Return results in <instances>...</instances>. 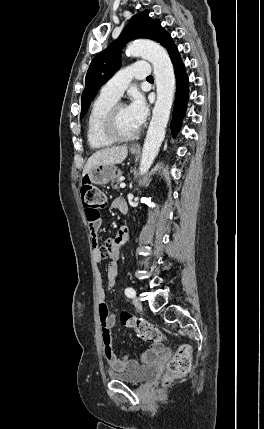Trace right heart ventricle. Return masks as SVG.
Segmentation results:
<instances>
[{"mask_svg": "<svg viewBox=\"0 0 264 429\" xmlns=\"http://www.w3.org/2000/svg\"><path fill=\"white\" fill-rule=\"evenodd\" d=\"M116 99L100 94L93 102L87 118V140L92 149H104L114 141L103 133L102 125L110 107L116 103Z\"/></svg>", "mask_w": 264, "mask_h": 429, "instance_id": "right-heart-ventricle-1", "label": "right heart ventricle"}]
</instances>
